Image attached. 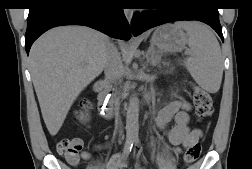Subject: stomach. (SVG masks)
<instances>
[{"label": "stomach", "instance_id": "1", "mask_svg": "<svg viewBox=\"0 0 252 169\" xmlns=\"http://www.w3.org/2000/svg\"><path fill=\"white\" fill-rule=\"evenodd\" d=\"M151 41L160 50L179 52L185 48L187 35L176 24H166L156 29Z\"/></svg>", "mask_w": 252, "mask_h": 169}]
</instances>
